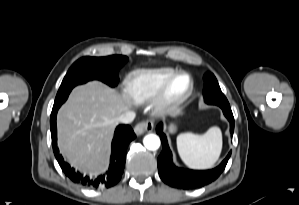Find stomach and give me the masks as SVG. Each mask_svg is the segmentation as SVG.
<instances>
[{
  "label": "stomach",
  "mask_w": 299,
  "mask_h": 205,
  "mask_svg": "<svg viewBox=\"0 0 299 205\" xmlns=\"http://www.w3.org/2000/svg\"><path fill=\"white\" fill-rule=\"evenodd\" d=\"M175 129H176L175 126H174V125H171L170 128H169V131H170V132H174Z\"/></svg>",
  "instance_id": "0dacf381"
}]
</instances>
